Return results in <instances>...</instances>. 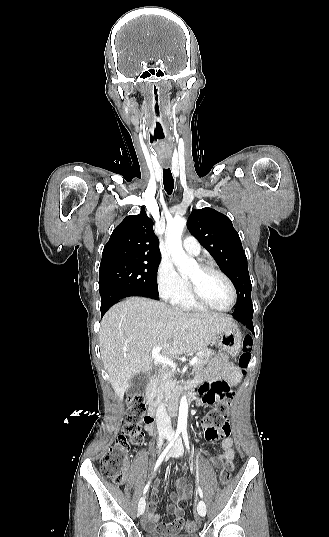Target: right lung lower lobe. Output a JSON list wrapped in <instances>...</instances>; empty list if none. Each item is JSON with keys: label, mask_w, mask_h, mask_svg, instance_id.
<instances>
[{"label": "right lung lower lobe", "mask_w": 329, "mask_h": 537, "mask_svg": "<svg viewBox=\"0 0 329 537\" xmlns=\"http://www.w3.org/2000/svg\"><path fill=\"white\" fill-rule=\"evenodd\" d=\"M101 295V315L106 313L108 308L114 303L118 302L120 299L128 296H145L158 299V295H153L148 292L126 289L120 287H105L100 290Z\"/></svg>", "instance_id": "98d812e1"}]
</instances>
